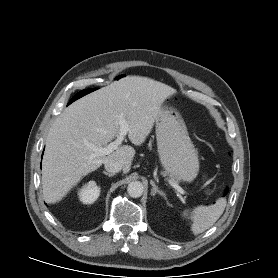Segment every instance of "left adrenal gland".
<instances>
[{"instance_id": "left-adrenal-gland-1", "label": "left adrenal gland", "mask_w": 278, "mask_h": 278, "mask_svg": "<svg viewBox=\"0 0 278 278\" xmlns=\"http://www.w3.org/2000/svg\"><path fill=\"white\" fill-rule=\"evenodd\" d=\"M150 184L152 185V190H151V195L155 196L156 194L161 195L162 197L165 198V194L163 191L158 189V186L155 184L153 180L150 181Z\"/></svg>"}]
</instances>
